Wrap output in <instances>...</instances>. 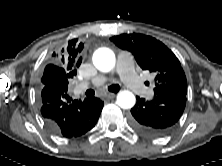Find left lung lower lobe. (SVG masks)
I'll return each instance as SVG.
<instances>
[{
    "instance_id": "obj_1",
    "label": "left lung lower lobe",
    "mask_w": 222,
    "mask_h": 166,
    "mask_svg": "<svg viewBox=\"0 0 222 166\" xmlns=\"http://www.w3.org/2000/svg\"><path fill=\"white\" fill-rule=\"evenodd\" d=\"M186 94L176 90H161L155 93L151 101L137 97V103L131 109V126L146 136L161 137L168 134L184 111Z\"/></svg>"
}]
</instances>
